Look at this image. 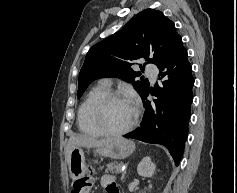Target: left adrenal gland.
Wrapping results in <instances>:
<instances>
[{
  "label": "left adrenal gland",
  "mask_w": 237,
  "mask_h": 193,
  "mask_svg": "<svg viewBox=\"0 0 237 193\" xmlns=\"http://www.w3.org/2000/svg\"><path fill=\"white\" fill-rule=\"evenodd\" d=\"M125 174H126V171L123 173V175H122V178H121V179H124V176H125Z\"/></svg>",
  "instance_id": "a2214340"
}]
</instances>
